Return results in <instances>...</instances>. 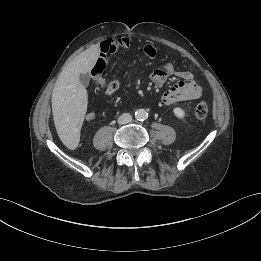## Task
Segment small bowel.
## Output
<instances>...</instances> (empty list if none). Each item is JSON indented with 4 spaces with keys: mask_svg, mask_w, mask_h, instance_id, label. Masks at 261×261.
Returning a JSON list of instances; mask_svg holds the SVG:
<instances>
[{
    "mask_svg": "<svg viewBox=\"0 0 261 261\" xmlns=\"http://www.w3.org/2000/svg\"><path fill=\"white\" fill-rule=\"evenodd\" d=\"M129 48L130 41L127 37L110 38L102 41L99 46V56L94 70H101L102 73L106 66L108 55ZM141 52L143 56L150 59L157 57V49L150 43L145 44L142 47ZM171 76L178 77L179 81L174 83L162 95L161 101L165 106H171L178 102L195 100L201 96L202 89L194 79L193 74L186 70H177L172 63H166L155 69L150 78L155 85L163 87L169 81ZM107 84L111 89V93L117 91L120 86V82L117 79L107 82ZM94 118L95 114L93 112H88L85 116L87 121H92Z\"/></svg>",
    "mask_w": 261,
    "mask_h": 261,
    "instance_id": "small-bowel-1",
    "label": "small bowel"
}]
</instances>
